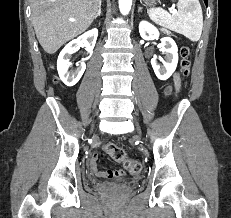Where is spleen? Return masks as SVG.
Here are the masks:
<instances>
[{
  "mask_svg": "<svg viewBox=\"0 0 231 218\" xmlns=\"http://www.w3.org/2000/svg\"><path fill=\"white\" fill-rule=\"evenodd\" d=\"M178 12L169 14L162 8L148 10L155 23L182 34L191 41H198L203 29V14L198 0H178Z\"/></svg>",
  "mask_w": 231,
  "mask_h": 218,
  "instance_id": "3e777b00",
  "label": "spleen"
}]
</instances>
